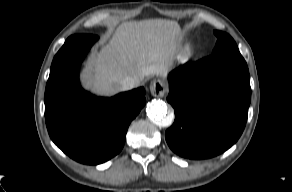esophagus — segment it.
Wrapping results in <instances>:
<instances>
[{
    "mask_svg": "<svg viewBox=\"0 0 292 192\" xmlns=\"http://www.w3.org/2000/svg\"><path fill=\"white\" fill-rule=\"evenodd\" d=\"M150 92L155 97H163L167 91L166 84L163 80L157 79L150 83Z\"/></svg>",
    "mask_w": 292,
    "mask_h": 192,
    "instance_id": "obj_1",
    "label": "esophagus"
}]
</instances>
